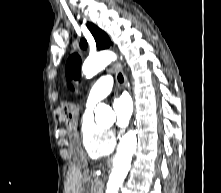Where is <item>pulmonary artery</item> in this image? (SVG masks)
<instances>
[{
    "mask_svg": "<svg viewBox=\"0 0 221 193\" xmlns=\"http://www.w3.org/2000/svg\"><path fill=\"white\" fill-rule=\"evenodd\" d=\"M113 79L110 75L101 76L91 88L86 102V107L92 109L94 105L106 97L112 90Z\"/></svg>",
    "mask_w": 221,
    "mask_h": 193,
    "instance_id": "e3ab8cb5",
    "label": "pulmonary artery"
}]
</instances>
